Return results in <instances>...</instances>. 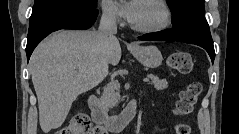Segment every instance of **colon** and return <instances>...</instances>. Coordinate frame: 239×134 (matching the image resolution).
Returning <instances> with one entry per match:
<instances>
[{"instance_id": "obj_1", "label": "colon", "mask_w": 239, "mask_h": 134, "mask_svg": "<svg viewBox=\"0 0 239 134\" xmlns=\"http://www.w3.org/2000/svg\"><path fill=\"white\" fill-rule=\"evenodd\" d=\"M168 65L183 74H189L194 68V62L191 56L185 52L173 53L168 57ZM202 86L199 82L189 83L184 90L181 91L174 107V114L177 116H188L193 112L194 106L201 94ZM176 134H190L189 125L184 123L176 124ZM102 128L92 124L89 116L85 113L75 114L70 123L59 130L56 134H104Z\"/></svg>"}]
</instances>
